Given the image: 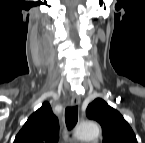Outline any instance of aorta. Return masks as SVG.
Masks as SVG:
<instances>
[{
	"label": "aorta",
	"mask_w": 145,
	"mask_h": 143,
	"mask_svg": "<svg viewBox=\"0 0 145 143\" xmlns=\"http://www.w3.org/2000/svg\"><path fill=\"white\" fill-rule=\"evenodd\" d=\"M99 126L93 121H85L77 129L76 136L79 140L87 141L99 136Z\"/></svg>",
	"instance_id": "aorta-1"
}]
</instances>
